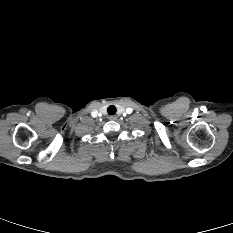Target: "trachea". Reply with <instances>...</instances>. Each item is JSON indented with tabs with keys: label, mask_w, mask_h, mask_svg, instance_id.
I'll list each match as a JSON object with an SVG mask.
<instances>
[{
	"label": "trachea",
	"mask_w": 233,
	"mask_h": 233,
	"mask_svg": "<svg viewBox=\"0 0 233 233\" xmlns=\"http://www.w3.org/2000/svg\"><path fill=\"white\" fill-rule=\"evenodd\" d=\"M107 111L110 115H113L116 113V107L114 105H111L108 107Z\"/></svg>",
	"instance_id": "obj_1"
}]
</instances>
